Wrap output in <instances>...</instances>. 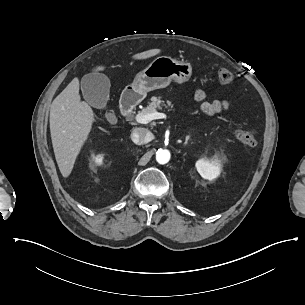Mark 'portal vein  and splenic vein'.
<instances>
[{"instance_id":"obj_1","label":"portal vein and splenic vein","mask_w":305,"mask_h":305,"mask_svg":"<svg viewBox=\"0 0 305 305\" xmlns=\"http://www.w3.org/2000/svg\"><path fill=\"white\" fill-rule=\"evenodd\" d=\"M168 117V114L166 113H160L157 111L154 112H139L135 115L134 121L140 124H146L149 123L151 120L154 119H166Z\"/></svg>"}]
</instances>
